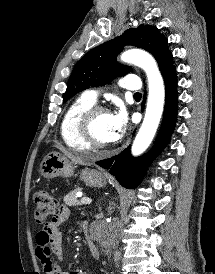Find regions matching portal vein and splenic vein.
Masks as SVG:
<instances>
[{"label":"portal vein and splenic vein","mask_w":215,"mask_h":274,"mask_svg":"<svg viewBox=\"0 0 215 274\" xmlns=\"http://www.w3.org/2000/svg\"><path fill=\"white\" fill-rule=\"evenodd\" d=\"M90 203H91V199L90 198L83 197L81 199V204L87 205V204H90Z\"/></svg>","instance_id":"obj_1"}]
</instances>
